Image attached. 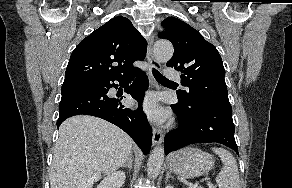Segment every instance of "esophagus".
<instances>
[{
  "instance_id": "esophagus-1",
  "label": "esophagus",
  "mask_w": 292,
  "mask_h": 188,
  "mask_svg": "<svg viewBox=\"0 0 292 188\" xmlns=\"http://www.w3.org/2000/svg\"><path fill=\"white\" fill-rule=\"evenodd\" d=\"M153 41L154 36L149 38L148 47H147V61H148V74L151 79V88L155 89L157 87L155 81L152 77V69L153 68H160V63L154 58L153 55ZM163 141V133L159 128H153V136H152V145L156 146L159 145Z\"/></svg>"
}]
</instances>
